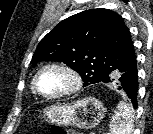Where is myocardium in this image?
Returning <instances> with one entry per match:
<instances>
[{
  "label": "myocardium",
  "instance_id": "obj_1",
  "mask_svg": "<svg viewBox=\"0 0 153 134\" xmlns=\"http://www.w3.org/2000/svg\"><path fill=\"white\" fill-rule=\"evenodd\" d=\"M50 69L59 70L63 72L65 75H67V77L70 80V85L66 89L58 93L46 94V93L41 92L37 84L38 78L44 71L50 70ZM82 84H83L82 77L75 68H73L71 65L67 63L54 61V62L46 63L45 65H43L42 67L38 69V71L33 77L32 88L35 93H37L39 96L43 98L60 99V98L67 97V96H70L78 92L80 88L82 87Z\"/></svg>",
  "mask_w": 153,
  "mask_h": 134
}]
</instances>
